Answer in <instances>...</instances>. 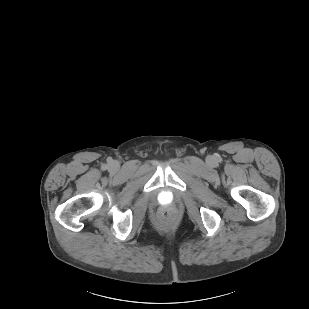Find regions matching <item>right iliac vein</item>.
<instances>
[{
    "label": "right iliac vein",
    "instance_id": "right-iliac-vein-1",
    "mask_svg": "<svg viewBox=\"0 0 309 309\" xmlns=\"http://www.w3.org/2000/svg\"><path fill=\"white\" fill-rule=\"evenodd\" d=\"M110 168L111 170L116 171L118 169V164L114 162L110 165Z\"/></svg>",
    "mask_w": 309,
    "mask_h": 309
}]
</instances>
